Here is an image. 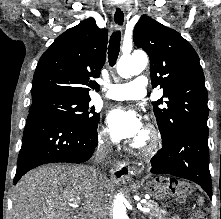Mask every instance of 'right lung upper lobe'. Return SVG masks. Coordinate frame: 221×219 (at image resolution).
I'll return each mask as SVG.
<instances>
[{"label":"right lung upper lobe","instance_id":"cb5924a9","mask_svg":"<svg viewBox=\"0 0 221 219\" xmlns=\"http://www.w3.org/2000/svg\"><path fill=\"white\" fill-rule=\"evenodd\" d=\"M108 34L94 18L81 21L58 36L41 56L33 77L32 102L47 98L90 99L99 91L93 78L100 76L106 59Z\"/></svg>","mask_w":221,"mask_h":219}]
</instances>
